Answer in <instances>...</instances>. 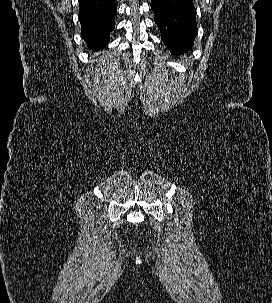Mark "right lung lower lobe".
I'll list each match as a JSON object with an SVG mask.
<instances>
[{"instance_id": "98d812e1", "label": "right lung lower lobe", "mask_w": 272, "mask_h": 303, "mask_svg": "<svg viewBox=\"0 0 272 303\" xmlns=\"http://www.w3.org/2000/svg\"><path fill=\"white\" fill-rule=\"evenodd\" d=\"M81 35L94 52L106 47L115 27V0H79Z\"/></svg>"}]
</instances>
